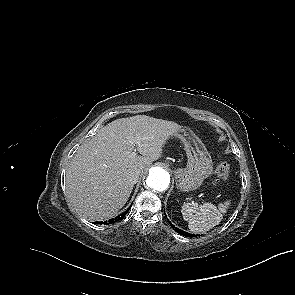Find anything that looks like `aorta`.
Masks as SVG:
<instances>
[{
	"label": "aorta",
	"instance_id": "aorta-1",
	"mask_svg": "<svg viewBox=\"0 0 295 295\" xmlns=\"http://www.w3.org/2000/svg\"><path fill=\"white\" fill-rule=\"evenodd\" d=\"M170 183L169 172L159 166L151 167L146 178V186L152 191H164Z\"/></svg>",
	"mask_w": 295,
	"mask_h": 295
}]
</instances>
